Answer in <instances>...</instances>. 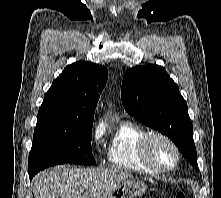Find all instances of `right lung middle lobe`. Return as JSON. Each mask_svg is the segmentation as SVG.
Here are the masks:
<instances>
[{"mask_svg":"<svg viewBox=\"0 0 221 198\" xmlns=\"http://www.w3.org/2000/svg\"><path fill=\"white\" fill-rule=\"evenodd\" d=\"M91 139L92 126L84 129L35 128L28 160L29 176L57 164H95Z\"/></svg>","mask_w":221,"mask_h":198,"instance_id":"dd1d6c3e","label":"right lung middle lobe"}]
</instances>
